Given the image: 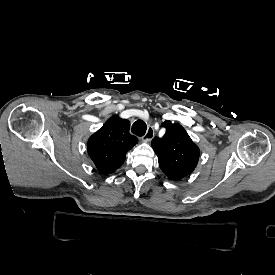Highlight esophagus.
Here are the masks:
<instances>
[{"label": "esophagus", "mask_w": 275, "mask_h": 275, "mask_svg": "<svg viewBox=\"0 0 275 275\" xmlns=\"http://www.w3.org/2000/svg\"><path fill=\"white\" fill-rule=\"evenodd\" d=\"M153 137H154V128L152 126H150L147 129L146 134L142 137V141L143 142H149L153 139Z\"/></svg>", "instance_id": "34e87169"}]
</instances>
